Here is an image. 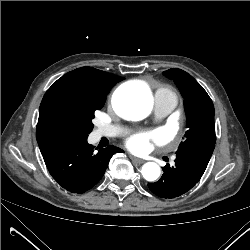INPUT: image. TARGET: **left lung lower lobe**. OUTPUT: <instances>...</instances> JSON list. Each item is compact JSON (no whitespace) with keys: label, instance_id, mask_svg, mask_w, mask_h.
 <instances>
[{"label":"left lung lower lobe","instance_id":"1","mask_svg":"<svg viewBox=\"0 0 250 250\" xmlns=\"http://www.w3.org/2000/svg\"><path fill=\"white\" fill-rule=\"evenodd\" d=\"M215 144L196 145L177 152L175 166L167 164L159 181L148 183L159 197L175 198L188 192L202 177Z\"/></svg>","mask_w":250,"mask_h":250}]
</instances>
